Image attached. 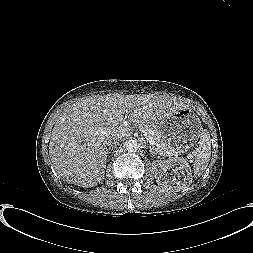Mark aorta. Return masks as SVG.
<instances>
[{"instance_id":"1","label":"aorta","mask_w":253,"mask_h":253,"mask_svg":"<svg viewBox=\"0 0 253 253\" xmlns=\"http://www.w3.org/2000/svg\"><path fill=\"white\" fill-rule=\"evenodd\" d=\"M140 149L139 143L136 140H129L126 142V150L128 152H136Z\"/></svg>"}]
</instances>
